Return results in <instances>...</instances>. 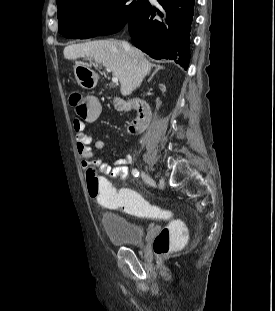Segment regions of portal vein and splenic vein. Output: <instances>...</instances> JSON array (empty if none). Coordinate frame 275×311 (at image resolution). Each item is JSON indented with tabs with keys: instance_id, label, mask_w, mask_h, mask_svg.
Instances as JSON below:
<instances>
[{
	"instance_id": "18ae733b",
	"label": "portal vein and splenic vein",
	"mask_w": 275,
	"mask_h": 311,
	"mask_svg": "<svg viewBox=\"0 0 275 311\" xmlns=\"http://www.w3.org/2000/svg\"><path fill=\"white\" fill-rule=\"evenodd\" d=\"M108 72H110L109 69H107ZM112 82L117 84L118 83V78L117 77H112Z\"/></svg>"
}]
</instances>
